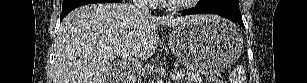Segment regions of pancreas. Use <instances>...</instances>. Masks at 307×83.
Returning a JSON list of instances; mask_svg holds the SVG:
<instances>
[{"mask_svg":"<svg viewBox=\"0 0 307 83\" xmlns=\"http://www.w3.org/2000/svg\"><path fill=\"white\" fill-rule=\"evenodd\" d=\"M177 73H181L184 76V81L186 83H203L204 79L197 73L193 72H185L183 70L178 71ZM212 83H219L218 81H209Z\"/></svg>","mask_w":307,"mask_h":83,"instance_id":"obj_1","label":"pancreas"}]
</instances>
